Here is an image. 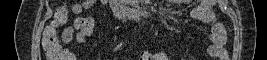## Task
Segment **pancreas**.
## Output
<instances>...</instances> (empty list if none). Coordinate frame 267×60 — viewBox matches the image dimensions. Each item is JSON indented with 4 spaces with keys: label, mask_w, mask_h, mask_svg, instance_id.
Masks as SVG:
<instances>
[{
    "label": "pancreas",
    "mask_w": 267,
    "mask_h": 60,
    "mask_svg": "<svg viewBox=\"0 0 267 60\" xmlns=\"http://www.w3.org/2000/svg\"><path fill=\"white\" fill-rule=\"evenodd\" d=\"M127 2H128V4H131V5L134 4L133 1L127 0Z\"/></svg>",
    "instance_id": "obj_1"
}]
</instances>
